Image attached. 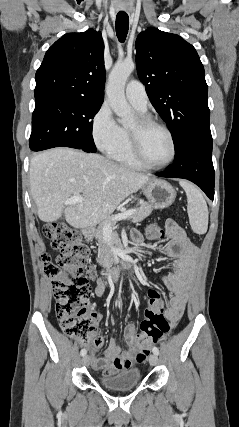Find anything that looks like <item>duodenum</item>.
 <instances>
[{
    "label": "duodenum",
    "mask_w": 239,
    "mask_h": 427,
    "mask_svg": "<svg viewBox=\"0 0 239 427\" xmlns=\"http://www.w3.org/2000/svg\"><path fill=\"white\" fill-rule=\"evenodd\" d=\"M85 234L89 235L91 231L89 229H85ZM133 265V262L129 258H123L119 262L115 264L106 265L103 269V276L105 278L111 279V280H117L120 276V274L128 269L131 268Z\"/></svg>",
    "instance_id": "1"
}]
</instances>
